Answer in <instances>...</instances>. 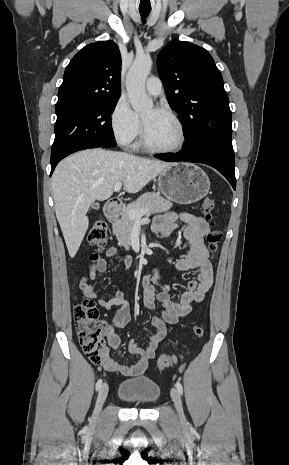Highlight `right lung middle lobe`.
<instances>
[{
    "label": "right lung middle lobe",
    "mask_w": 289,
    "mask_h": 465,
    "mask_svg": "<svg viewBox=\"0 0 289 465\" xmlns=\"http://www.w3.org/2000/svg\"><path fill=\"white\" fill-rule=\"evenodd\" d=\"M117 101L118 98L56 107L51 162L68 156L86 143L98 142L106 147H115L110 116Z\"/></svg>",
    "instance_id": "right-lung-middle-lobe-1"
}]
</instances>
